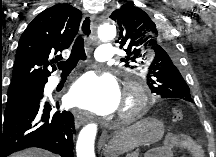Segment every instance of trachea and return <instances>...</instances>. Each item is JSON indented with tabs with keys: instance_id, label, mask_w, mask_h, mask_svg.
I'll return each instance as SVG.
<instances>
[{
	"instance_id": "obj_1",
	"label": "trachea",
	"mask_w": 216,
	"mask_h": 157,
	"mask_svg": "<svg viewBox=\"0 0 216 157\" xmlns=\"http://www.w3.org/2000/svg\"><path fill=\"white\" fill-rule=\"evenodd\" d=\"M79 60H86L84 39L81 36L75 40L70 57L66 61L59 62L57 66L64 74H67L75 68Z\"/></svg>"
}]
</instances>
